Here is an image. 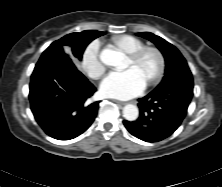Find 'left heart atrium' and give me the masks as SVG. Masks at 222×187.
<instances>
[{
    "mask_svg": "<svg viewBox=\"0 0 222 187\" xmlns=\"http://www.w3.org/2000/svg\"><path fill=\"white\" fill-rule=\"evenodd\" d=\"M146 83L133 69L112 72L101 84L100 92L105 97L116 99H130L139 95Z\"/></svg>",
    "mask_w": 222,
    "mask_h": 187,
    "instance_id": "1",
    "label": "left heart atrium"
}]
</instances>
